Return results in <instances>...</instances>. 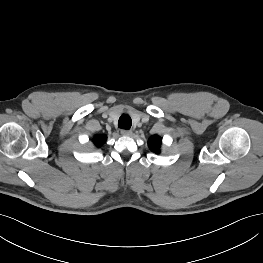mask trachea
<instances>
[{
    "label": "trachea",
    "mask_w": 263,
    "mask_h": 263,
    "mask_svg": "<svg viewBox=\"0 0 263 263\" xmlns=\"http://www.w3.org/2000/svg\"><path fill=\"white\" fill-rule=\"evenodd\" d=\"M132 125V120L129 115L123 114L118 121V127L122 129H130Z\"/></svg>",
    "instance_id": "3493384b"
}]
</instances>
